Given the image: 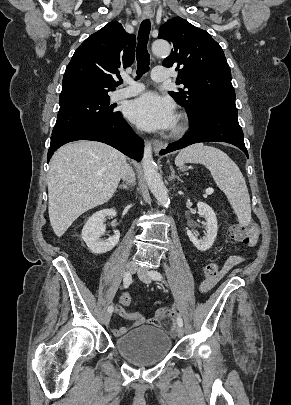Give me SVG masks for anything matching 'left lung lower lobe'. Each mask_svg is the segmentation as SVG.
<instances>
[{"mask_svg": "<svg viewBox=\"0 0 291 405\" xmlns=\"http://www.w3.org/2000/svg\"><path fill=\"white\" fill-rule=\"evenodd\" d=\"M235 99H213L204 102L199 117H189L192 132L170 144L160 155L199 142H226L240 148L248 157L244 134L238 123Z\"/></svg>", "mask_w": 291, "mask_h": 405, "instance_id": "obj_1", "label": "left lung lower lobe"}]
</instances>
